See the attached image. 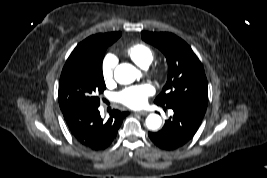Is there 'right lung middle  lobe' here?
Masks as SVG:
<instances>
[{
    "label": "right lung middle lobe",
    "mask_w": 267,
    "mask_h": 178,
    "mask_svg": "<svg viewBox=\"0 0 267 178\" xmlns=\"http://www.w3.org/2000/svg\"><path fill=\"white\" fill-rule=\"evenodd\" d=\"M118 38L94 39L85 42L67 59L59 82L60 108L71 103L100 105L98 94L106 89L102 60L109 45Z\"/></svg>",
    "instance_id": "right-lung-middle-lobe-1"
}]
</instances>
